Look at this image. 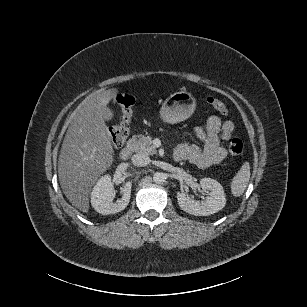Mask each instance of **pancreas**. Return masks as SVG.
<instances>
[{
  "label": "pancreas",
  "instance_id": "pancreas-1",
  "mask_svg": "<svg viewBox=\"0 0 307 307\" xmlns=\"http://www.w3.org/2000/svg\"><path fill=\"white\" fill-rule=\"evenodd\" d=\"M136 144L134 146L135 152H140L145 155H154L157 153L156 148L152 145V138L150 136L137 135Z\"/></svg>",
  "mask_w": 307,
  "mask_h": 307
}]
</instances>
